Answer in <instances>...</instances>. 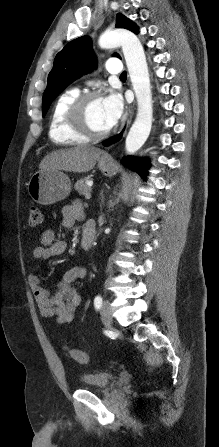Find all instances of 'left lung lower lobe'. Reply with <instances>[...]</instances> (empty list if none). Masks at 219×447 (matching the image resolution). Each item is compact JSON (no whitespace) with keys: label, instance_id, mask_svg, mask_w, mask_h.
<instances>
[{"label":"left lung lower lobe","instance_id":"1","mask_svg":"<svg viewBox=\"0 0 219 447\" xmlns=\"http://www.w3.org/2000/svg\"><path fill=\"white\" fill-rule=\"evenodd\" d=\"M120 137H121V133L106 140L103 144L110 145L111 143L119 140ZM121 162L126 167H128L134 171H137L143 178H144L145 174L147 173L146 169L149 167V164L147 161H145L143 159H134L129 156L124 157L121 160Z\"/></svg>","mask_w":219,"mask_h":447}]
</instances>
